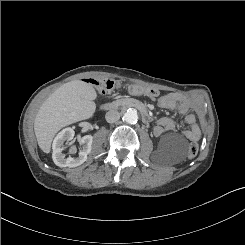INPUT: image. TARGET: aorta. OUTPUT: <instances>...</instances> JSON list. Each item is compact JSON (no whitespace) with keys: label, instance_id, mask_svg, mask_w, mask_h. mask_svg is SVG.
Instances as JSON below:
<instances>
[{"label":"aorta","instance_id":"1","mask_svg":"<svg viewBox=\"0 0 245 245\" xmlns=\"http://www.w3.org/2000/svg\"><path fill=\"white\" fill-rule=\"evenodd\" d=\"M123 119L130 124H134L138 120L137 111L134 109H129L124 113Z\"/></svg>","mask_w":245,"mask_h":245}]
</instances>
